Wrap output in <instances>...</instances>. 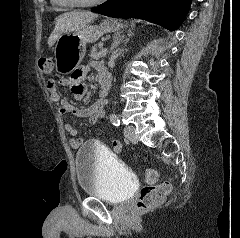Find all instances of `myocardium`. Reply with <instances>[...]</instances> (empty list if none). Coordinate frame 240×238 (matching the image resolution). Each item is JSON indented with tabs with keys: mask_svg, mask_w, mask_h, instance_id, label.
<instances>
[{
	"mask_svg": "<svg viewBox=\"0 0 240 238\" xmlns=\"http://www.w3.org/2000/svg\"><path fill=\"white\" fill-rule=\"evenodd\" d=\"M106 1L107 0H94V1L88 2V3H78V2L65 0V4L68 6H74V7H94V6L100 5L102 3H105Z\"/></svg>",
	"mask_w": 240,
	"mask_h": 238,
	"instance_id": "1",
	"label": "myocardium"
}]
</instances>
